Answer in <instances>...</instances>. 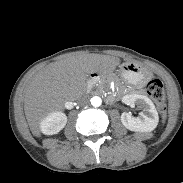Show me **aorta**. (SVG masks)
I'll return each instance as SVG.
<instances>
[{"instance_id": "obj_1", "label": "aorta", "mask_w": 183, "mask_h": 183, "mask_svg": "<svg viewBox=\"0 0 183 183\" xmlns=\"http://www.w3.org/2000/svg\"><path fill=\"white\" fill-rule=\"evenodd\" d=\"M90 101L94 107H99L102 104V100L99 96L92 97Z\"/></svg>"}]
</instances>
